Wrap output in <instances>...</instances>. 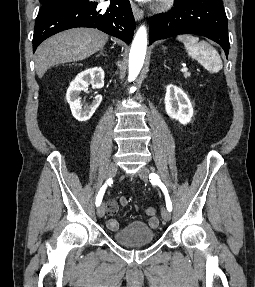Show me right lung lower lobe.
<instances>
[{
  "label": "right lung lower lobe",
  "mask_w": 255,
  "mask_h": 287,
  "mask_svg": "<svg viewBox=\"0 0 255 287\" xmlns=\"http://www.w3.org/2000/svg\"><path fill=\"white\" fill-rule=\"evenodd\" d=\"M97 5L95 1H84L42 8L35 21L33 52L51 35L75 27L98 28L129 43L135 29L129 0H111L106 11L96 9Z\"/></svg>",
  "instance_id": "obj_1"
}]
</instances>
